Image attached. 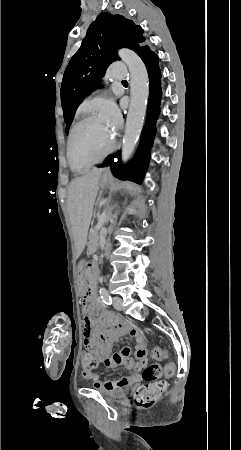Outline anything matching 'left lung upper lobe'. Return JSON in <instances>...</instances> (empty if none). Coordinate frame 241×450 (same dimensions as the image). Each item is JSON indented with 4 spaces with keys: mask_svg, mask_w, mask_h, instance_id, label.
I'll return each instance as SVG.
<instances>
[{
    "mask_svg": "<svg viewBox=\"0 0 241 450\" xmlns=\"http://www.w3.org/2000/svg\"><path fill=\"white\" fill-rule=\"evenodd\" d=\"M145 43L143 29L121 15L101 13L91 23L63 76L61 104L67 123L66 134L79 104L95 87H99V79L108 66L120 59L116 50L125 47L140 56L150 49Z\"/></svg>",
    "mask_w": 241,
    "mask_h": 450,
    "instance_id": "obj_1",
    "label": "left lung upper lobe"
}]
</instances>
